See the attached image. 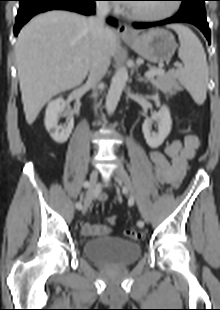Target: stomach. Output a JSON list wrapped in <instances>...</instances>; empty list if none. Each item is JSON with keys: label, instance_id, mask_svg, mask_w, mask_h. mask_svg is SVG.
I'll return each instance as SVG.
<instances>
[{"label": "stomach", "instance_id": "obj_1", "mask_svg": "<svg viewBox=\"0 0 220 310\" xmlns=\"http://www.w3.org/2000/svg\"><path fill=\"white\" fill-rule=\"evenodd\" d=\"M134 51L151 63H161L170 59L177 47L172 33L164 29H152L133 37H123Z\"/></svg>", "mask_w": 220, "mask_h": 310}]
</instances>
